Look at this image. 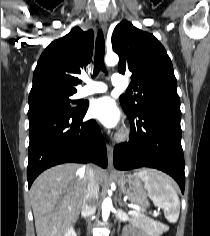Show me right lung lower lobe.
Segmentation results:
<instances>
[{
    "label": "right lung lower lobe",
    "instance_id": "98d812e1",
    "mask_svg": "<svg viewBox=\"0 0 210 236\" xmlns=\"http://www.w3.org/2000/svg\"><path fill=\"white\" fill-rule=\"evenodd\" d=\"M80 113L52 111L29 118L28 186L45 169L57 164L94 162L107 167L106 146L94 120Z\"/></svg>",
    "mask_w": 210,
    "mask_h": 236
}]
</instances>
